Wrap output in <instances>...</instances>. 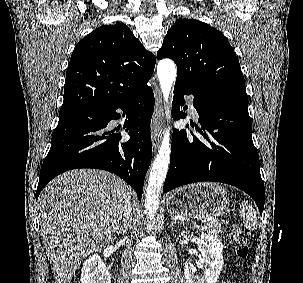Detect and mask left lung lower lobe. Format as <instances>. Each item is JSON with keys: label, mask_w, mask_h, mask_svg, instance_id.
Here are the masks:
<instances>
[{"label": "left lung lower lobe", "mask_w": 303, "mask_h": 283, "mask_svg": "<svg viewBox=\"0 0 303 283\" xmlns=\"http://www.w3.org/2000/svg\"><path fill=\"white\" fill-rule=\"evenodd\" d=\"M193 95L204 139L174 130L170 167L163 192L194 182L212 181L236 186L249 194L262 215L264 184L252 141L248 101L226 94L196 91L175 83L172 114L182 119L184 95Z\"/></svg>", "instance_id": "left-lung-lower-lobe-1"}]
</instances>
